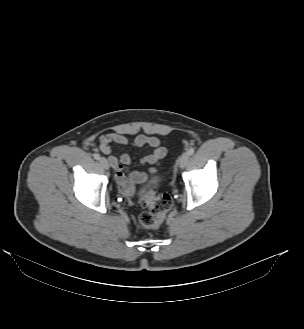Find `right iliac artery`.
Returning a JSON list of instances; mask_svg holds the SVG:
<instances>
[{
  "label": "right iliac artery",
  "instance_id": "obj_1",
  "mask_svg": "<svg viewBox=\"0 0 304 329\" xmlns=\"http://www.w3.org/2000/svg\"><path fill=\"white\" fill-rule=\"evenodd\" d=\"M93 156H94V158H95L96 160H99V159H100V155H99L98 153H95Z\"/></svg>",
  "mask_w": 304,
  "mask_h": 329
}]
</instances>
